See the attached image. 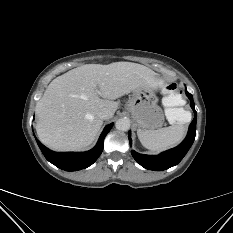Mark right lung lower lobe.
Here are the masks:
<instances>
[{
	"instance_id": "right-lung-lower-lobe-1",
	"label": "right lung lower lobe",
	"mask_w": 233,
	"mask_h": 233,
	"mask_svg": "<svg viewBox=\"0 0 233 233\" xmlns=\"http://www.w3.org/2000/svg\"><path fill=\"white\" fill-rule=\"evenodd\" d=\"M112 126L113 123L105 127L94 149L83 153L53 152L46 148L39 140L36 139V141L43 155L49 162H51L52 164H54L62 170L76 171L89 167L97 160V158L100 156L103 150L104 138L110 131Z\"/></svg>"
}]
</instances>
